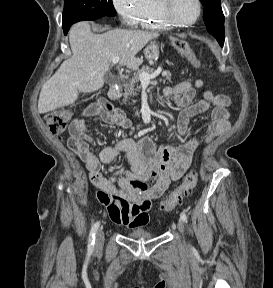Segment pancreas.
<instances>
[{
    "label": "pancreas",
    "instance_id": "pancreas-1",
    "mask_svg": "<svg viewBox=\"0 0 273 288\" xmlns=\"http://www.w3.org/2000/svg\"><path fill=\"white\" fill-rule=\"evenodd\" d=\"M142 72H146V73H153V68L149 67V66H143L142 69L138 70L137 72H135L132 76V78L124 83V101H127L128 98L136 96L137 92L140 91L141 86L139 85V75ZM162 76L164 77V79H160V81L166 82L169 81L171 82V73L168 70H165L162 72Z\"/></svg>",
    "mask_w": 273,
    "mask_h": 288
}]
</instances>
